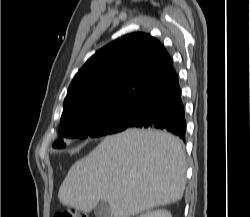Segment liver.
Returning <instances> with one entry per match:
<instances>
[{
  "label": "liver",
  "mask_w": 250,
  "mask_h": 217,
  "mask_svg": "<svg viewBox=\"0 0 250 217\" xmlns=\"http://www.w3.org/2000/svg\"><path fill=\"white\" fill-rule=\"evenodd\" d=\"M186 168L179 138L154 129H127L106 137L71 166L58 199L83 212L103 201L113 217H131L179 201Z\"/></svg>",
  "instance_id": "6515ba94"
}]
</instances>
